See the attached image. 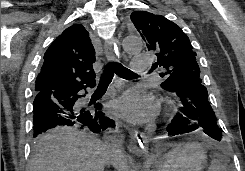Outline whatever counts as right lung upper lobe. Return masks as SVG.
<instances>
[{"label":"right lung upper lobe","instance_id":"obj_1","mask_svg":"<svg viewBox=\"0 0 245 171\" xmlns=\"http://www.w3.org/2000/svg\"><path fill=\"white\" fill-rule=\"evenodd\" d=\"M95 50L89 32L81 24L65 29L44 54V63L36 78L35 91L95 84Z\"/></svg>","mask_w":245,"mask_h":171}]
</instances>
